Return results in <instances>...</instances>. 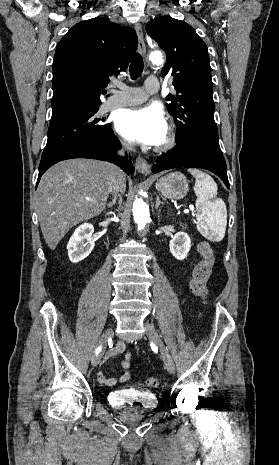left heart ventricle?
Returning a JSON list of instances; mask_svg holds the SVG:
<instances>
[{"label":"left heart ventricle","instance_id":"1","mask_svg":"<svg viewBox=\"0 0 279 465\" xmlns=\"http://www.w3.org/2000/svg\"><path fill=\"white\" fill-rule=\"evenodd\" d=\"M165 137H166V134H165V136L163 137V139H162V141L160 143H162L164 141Z\"/></svg>","mask_w":279,"mask_h":465}]
</instances>
